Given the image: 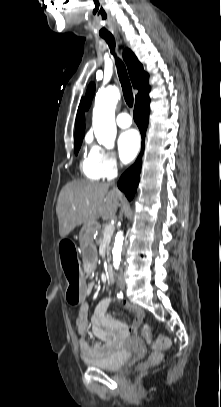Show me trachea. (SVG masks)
Here are the masks:
<instances>
[{
  "instance_id": "3493384b",
  "label": "trachea",
  "mask_w": 221,
  "mask_h": 407,
  "mask_svg": "<svg viewBox=\"0 0 221 407\" xmlns=\"http://www.w3.org/2000/svg\"><path fill=\"white\" fill-rule=\"evenodd\" d=\"M103 39L107 42L111 53L115 56V63L117 66V72L119 76V80L122 86L124 99L129 107L133 106V93H132V86L128 77V73L124 63L116 57L115 54V39L113 36H106Z\"/></svg>"
}]
</instances>
